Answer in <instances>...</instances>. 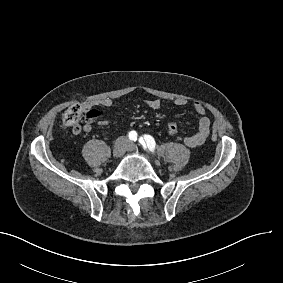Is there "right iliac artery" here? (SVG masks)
<instances>
[{
	"label": "right iliac artery",
	"instance_id": "obj_1",
	"mask_svg": "<svg viewBox=\"0 0 283 283\" xmlns=\"http://www.w3.org/2000/svg\"><path fill=\"white\" fill-rule=\"evenodd\" d=\"M128 137H129L130 140L136 141L137 140L136 131H130Z\"/></svg>",
	"mask_w": 283,
	"mask_h": 283
}]
</instances>
